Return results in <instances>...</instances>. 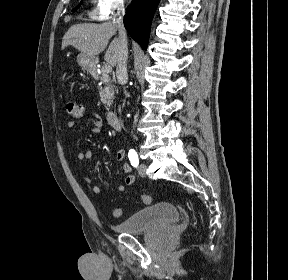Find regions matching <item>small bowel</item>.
<instances>
[{"label": "small bowel", "mask_w": 288, "mask_h": 280, "mask_svg": "<svg viewBox=\"0 0 288 280\" xmlns=\"http://www.w3.org/2000/svg\"><path fill=\"white\" fill-rule=\"evenodd\" d=\"M88 121L92 124L93 126V131L94 132H100L102 128V120L100 116L94 112L89 113L88 115ZM75 123L73 121L68 122V127L72 128L74 127ZM92 157L91 151H81L77 153V158L79 160H89ZM114 157L117 161L121 163V170L124 174V181L127 186H131L135 183V176L132 174V168L131 165L127 162V154L123 149H117L114 152ZM85 182L88 184H92V179L90 178H84ZM125 185L124 184H119L116 186V192L117 193H123L125 191ZM102 192V189L98 185H93L92 186V193L94 195H100Z\"/></svg>", "instance_id": "c3829d8e"}]
</instances>
